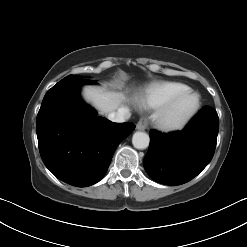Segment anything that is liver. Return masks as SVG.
Instances as JSON below:
<instances>
[{
  "instance_id": "6515ba94",
  "label": "liver",
  "mask_w": 247,
  "mask_h": 247,
  "mask_svg": "<svg viewBox=\"0 0 247 247\" xmlns=\"http://www.w3.org/2000/svg\"><path fill=\"white\" fill-rule=\"evenodd\" d=\"M84 99L91 103L101 113H111L122 106L123 102L128 101L123 92H107L101 88L87 86L83 88Z\"/></svg>"
}]
</instances>
